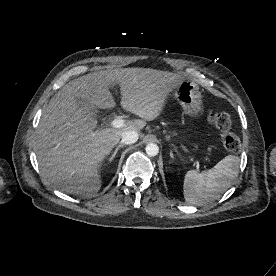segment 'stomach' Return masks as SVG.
Returning <instances> with one entry per match:
<instances>
[{"label":"stomach","instance_id":"obj_1","mask_svg":"<svg viewBox=\"0 0 276 276\" xmlns=\"http://www.w3.org/2000/svg\"><path fill=\"white\" fill-rule=\"evenodd\" d=\"M174 96L184 109L185 114L195 117L203 112L202 95L196 83L184 79L175 89Z\"/></svg>","mask_w":276,"mask_h":276}]
</instances>
